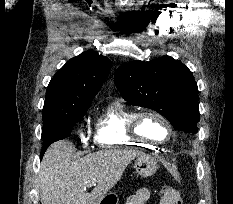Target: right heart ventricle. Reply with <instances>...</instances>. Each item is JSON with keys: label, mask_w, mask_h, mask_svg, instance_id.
Segmentation results:
<instances>
[{"label": "right heart ventricle", "mask_w": 233, "mask_h": 204, "mask_svg": "<svg viewBox=\"0 0 233 204\" xmlns=\"http://www.w3.org/2000/svg\"><path fill=\"white\" fill-rule=\"evenodd\" d=\"M135 111L121 101L111 102L98 116L94 140L102 148L149 147V143L133 137L129 124Z\"/></svg>", "instance_id": "right-heart-ventricle-1"}]
</instances>
